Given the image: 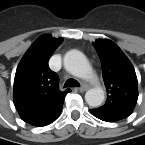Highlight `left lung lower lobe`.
I'll return each mask as SVG.
<instances>
[{"label":"left lung lower lobe","instance_id":"left-lung-lower-lobe-1","mask_svg":"<svg viewBox=\"0 0 145 145\" xmlns=\"http://www.w3.org/2000/svg\"><path fill=\"white\" fill-rule=\"evenodd\" d=\"M90 111H91V113L94 116H96L97 118H99V119H101L103 121H106V122H115V121H117L116 119H113L111 117H108V116H105V115H103L101 113H98L95 109L94 110H90Z\"/></svg>","mask_w":145,"mask_h":145}]
</instances>
